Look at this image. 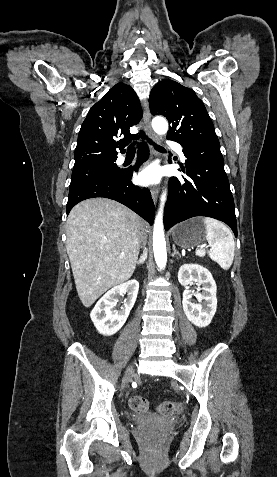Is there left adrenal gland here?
I'll use <instances>...</instances> for the list:
<instances>
[{"instance_id":"1","label":"left adrenal gland","mask_w":277,"mask_h":477,"mask_svg":"<svg viewBox=\"0 0 277 477\" xmlns=\"http://www.w3.org/2000/svg\"><path fill=\"white\" fill-rule=\"evenodd\" d=\"M173 254H172V257H174L175 255H178L180 258H181V254L176 250V247L175 245H173Z\"/></svg>"}]
</instances>
